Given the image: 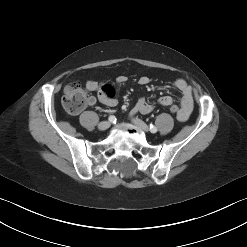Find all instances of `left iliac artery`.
<instances>
[{
    "label": "left iliac artery",
    "mask_w": 247,
    "mask_h": 247,
    "mask_svg": "<svg viewBox=\"0 0 247 247\" xmlns=\"http://www.w3.org/2000/svg\"><path fill=\"white\" fill-rule=\"evenodd\" d=\"M149 128L152 133H155L157 131V128L152 124L149 125Z\"/></svg>",
    "instance_id": "44dca946"
}]
</instances>
